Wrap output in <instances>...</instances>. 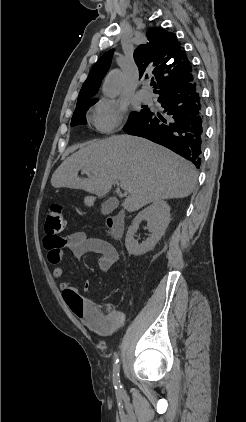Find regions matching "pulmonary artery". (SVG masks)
I'll return each instance as SVG.
<instances>
[{
	"instance_id": "pulmonary-artery-1",
	"label": "pulmonary artery",
	"mask_w": 246,
	"mask_h": 422,
	"mask_svg": "<svg viewBox=\"0 0 246 422\" xmlns=\"http://www.w3.org/2000/svg\"><path fill=\"white\" fill-rule=\"evenodd\" d=\"M138 96H139L140 100L145 102V103H149V102L152 101V94L146 89H141L138 92Z\"/></svg>"
}]
</instances>
